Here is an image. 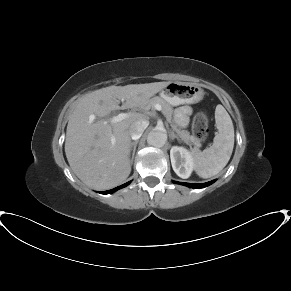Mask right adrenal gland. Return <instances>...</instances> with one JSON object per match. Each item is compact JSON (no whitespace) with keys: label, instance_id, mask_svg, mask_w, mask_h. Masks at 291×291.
<instances>
[{"label":"right adrenal gland","instance_id":"2a0ac1e0","mask_svg":"<svg viewBox=\"0 0 291 291\" xmlns=\"http://www.w3.org/2000/svg\"><path fill=\"white\" fill-rule=\"evenodd\" d=\"M137 144H138V140L132 142V144H131V150H132V158H131V162H133L134 155H135V152H136Z\"/></svg>","mask_w":291,"mask_h":291}]
</instances>
